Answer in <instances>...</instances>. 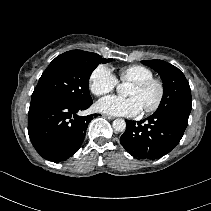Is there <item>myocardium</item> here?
I'll return each instance as SVG.
<instances>
[{
  "label": "myocardium",
  "instance_id": "obj_1",
  "mask_svg": "<svg viewBox=\"0 0 211 211\" xmlns=\"http://www.w3.org/2000/svg\"><path fill=\"white\" fill-rule=\"evenodd\" d=\"M133 85L139 88H146L150 85H155L158 88V97L156 101L154 102V104H152L149 107L144 108L143 110L146 113H153L160 108L165 97V85L161 79L156 78V77H150V78L135 81L133 82Z\"/></svg>",
  "mask_w": 211,
  "mask_h": 211
}]
</instances>
